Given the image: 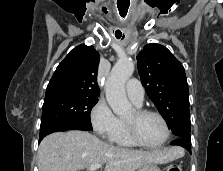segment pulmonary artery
<instances>
[{
    "instance_id": "1",
    "label": "pulmonary artery",
    "mask_w": 223,
    "mask_h": 171,
    "mask_svg": "<svg viewBox=\"0 0 223 171\" xmlns=\"http://www.w3.org/2000/svg\"><path fill=\"white\" fill-rule=\"evenodd\" d=\"M126 92L131 101L140 106L144 100V88L139 80L130 79L126 84Z\"/></svg>"
}]
</instances>
